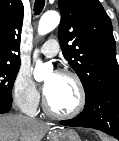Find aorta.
<instances>
[{
	"label": "aorta",
	"mask_w": 119,
	"mask_h": 141,
	"mask_svg": "<svg viewBox=\"0 0 119 141\" xmlns=\"http://www.w3.org/2000/svg\"><path fill=\"white\" fill-rule=\"evenodd\" d=\"M60 22V15L56 11H49L42 15L39 25H38V33L40 35H45L52 30H54ZM37 54H34V58H36ZM52 70V65L48 63H42L40 60L37 61L35 69H34V78L37 81H41L45 78V76Z\"/></svg>",
	"instance_id": "1"
}]
</instances>
